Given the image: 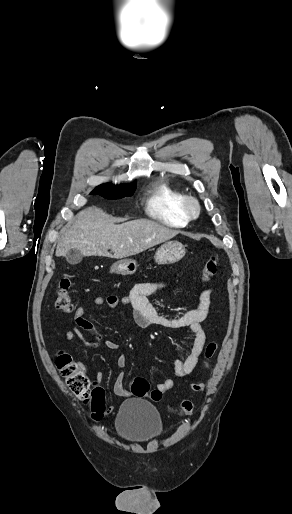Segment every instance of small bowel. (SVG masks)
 <instances>
[{
  "label": "small bowel",
  "mask_w": 292,
  "mask_h": 514,
  "mask_svg": "<svg viewBox=\"0 0 292 514\" xmlns=\"http://www.w3.org/2000/svg\"><path fill=\"white\" fill-rule=\"evenodd\" d=\"M167 287V283L161 281L155 282H141L136 284L130 293L126 296L119 297L116 295L96 296L93 299V304L96 307L107 306L110 309H116L119 306L127 307L130 310L131 317L137 326L141 328H149L151 326H158L167 329H176L181 327H188L194 334L193 340L190 342L189 351L184 360H177L174 362V376L176 378H184L190 375L195 369L198 358L202 352L203 346L206 341V334L202 327V322L207 318L210 308V295L211 290H204L199 297V304L196 308L190 309L177 317H168L160 313L153 304L150 303L148 297ZM85 307L78 306L73 315L74 327L65 332L64 337L68 342L75 341L81 337V332L86 331L94 335L95 339L86 341L85 344L89 348H97L101 345L102 337L97 331L95 326L85 317ZM104 345L110 351L116 352L120 349V345L112 340H106ZM127 363V357L120 354L117 358V365L124 367ZM77 369L79 371H86L88 366L82 364L81 361L77 362ZM97 381L103 378V374L97 371L94 374ZM174 386L172 379H166L157 384L156 389L167 392ZM114 393L118 397L128 398L132 394L124 386V375H119L113 385ZM115 406L110 404L107 412L112 414Z\"/></svg>",
  "instance_id": "obj_1"
}]
</instances>
